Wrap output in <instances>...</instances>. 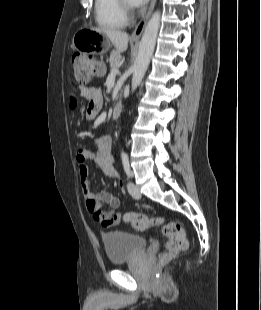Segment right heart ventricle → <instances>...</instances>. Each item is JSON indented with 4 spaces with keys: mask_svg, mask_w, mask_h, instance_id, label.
<instances>
[{
    "mask_svg": "<svg viewBox=\"0 0 261 310\" xmlns=\"http://www.w3.org/2000/svg\"><path fill=\"white\" fill-rule=\"evenodd\" d=\"M94 16L97 25L104 29L123 28L127 23L118 0H95Z\"/></svg>",
    "mask_w": 261,
    "mask_h": 310,
    "instance_id": "e07e8e85",
    "label": "right heart ventricle"
}]
</instances>
